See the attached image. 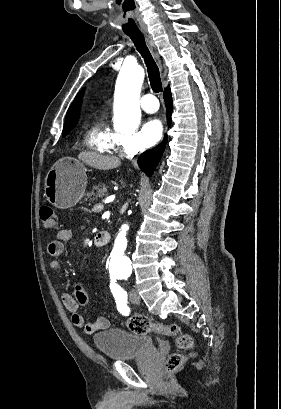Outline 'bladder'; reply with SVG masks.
Masks as SVG:
<instances>
[{
  "label": "bladder",
  "mask_w": 281,
  "mask_h": 409,
  "mask_svg": "<svg viewBox=\"0 0 281 409\" xmlns=\"http://www.w3.org/2000/svg\"><path fill=\"white\" fill-rule=\"evenodd\" d=\"M96 351L107 360L128 362L135 355H157V343L147 334H135L121 327H106L92 336Z\"/></svg>",
  "instance_id": "1"
}]
</instances>
